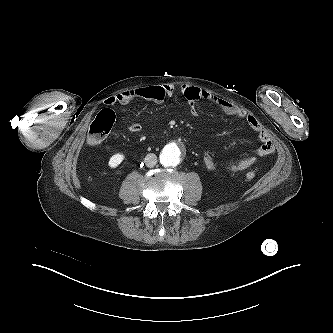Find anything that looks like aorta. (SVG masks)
<instances>
[{
    "mask_svg": "<svg viewBox=\"0 0 333 333\" xmlns=\"http://www.w3.org/2000/svg\"><path fill=\"white\" fill-rule=\"evenodd\" d=\"M183 147L172 145L165 147L160 154V162L165 167H175L180 163Z\"/></svg>",
    "mask_w": 333,
    "mask_h": 333,
    "instance_id": "762f6f07",
    "label": "aorta"
}]
</instances>
